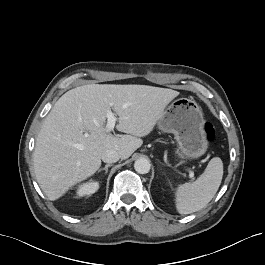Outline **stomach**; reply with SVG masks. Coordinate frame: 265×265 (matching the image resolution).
<instances>
[{
  "label": "stomach",
  "mask_w": 265,
  "mask_h": 265,
  "mask_svg": "<svg viewBox=\"0 0 265 265\" xmlns=\"http://www.w3.org/2000/svg\"><path fill=\"white\" fill-rule=\"evenodd\" d=\"M204 125L201 108L188 98L174 100L158 120L162 131L174 134L181 159H196L205 154L208 142Z\"/></svg>",
  "instance_id": "obj_1"
}]
</instances>
